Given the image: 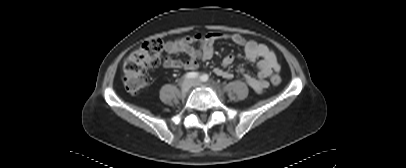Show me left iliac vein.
Here are the masks:
<instances>
[{
  "mask_svg": "<svg viewBox=\"0 0 406 168\" xmlns=\"http://www.w3.org/2000/svg\"><path fill=\"white\" fill-rule=\"evenodd\" d=\"M193 85H194V86H200V85H201V82L198 81V80H193Z\"/></svg>",
  "mask_w": 406,
  "mask_h": 168,
  "instance_id": "1",
  "label": "left iliac vein"
}]
</instances>
